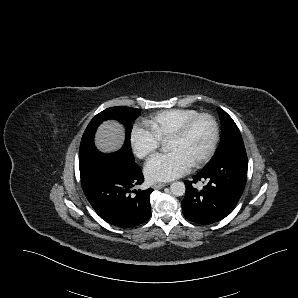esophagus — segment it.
Here are the masks:
<instances>
[{"mask_svg": "<svg viewBox=\"0 0 298 298\" xmlns=\"http://www.w3.org/2000/svg\"><path fill=\"white\" fill-rule=\"evenodd\" d=\"M165 186H167V184L166 183H154L153 185H152V188L153 189H162V188H164Z\"/></svg>", "mask_w": 298, "mask_h": 298, "instance_id": "1", "label": "esophagus"}]
</instances>
